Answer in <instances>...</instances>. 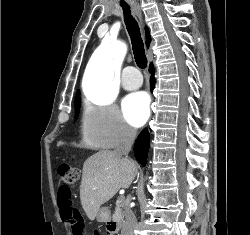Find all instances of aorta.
<instances>
[{
  "instance_id": "762f6f07",
  "label": "aorta",
  "mask_w": 250,
  "mask_h": 235,
  "mask_svg": "<svg viewBox=\"0 0 250 235\" xmlns=\"http://www.w3.org/2000/svg\"><path fill=\"white\" fill-rule=\"evenodd\" d=\"M126 54V46L119 43L111 46L107 42L95 50L88 68L85 94L100 104H109L117 96L119 62Z\"/></svg>"
}]
</instances>
